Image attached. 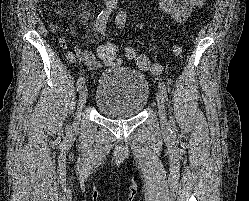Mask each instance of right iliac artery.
I'll list each match as a JSON object with an SVG mask.
<instances>
[{"label": "right iliac artery", "mask_w": 249, "mask_h": 201, "mask_svg": "<svg viewBox=\"0 0 249 201\" xmlns=\"http://www.w3.org/2000/svg\"><path fill=\"white\" fill-rule=\"evenodd\" d=\"M112 9L111 8H107L103 11H101L97 17L95 26L96 29L99 33L104 34L105 32V28H106V23L108 21V18L111 14ZM85 78L84 77H80L77 81V91H80L85 84Z\"/></svg>", "instance_id": "right-iliac-artery-1"}]
</instances>
